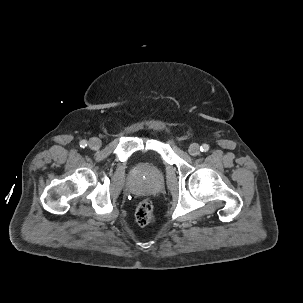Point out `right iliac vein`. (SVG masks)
Listing matches in <instances>:
<instances>
[{
  "mask_svg": "<svg viewBox=\"0 0 303 303\" xmlns=\"http://www.w3.org/2000/svg\"><path fill=\"white\" fill-rule=\"evenodd\" d=\"M88 145L92 150H98L101 146V141L100 139L94 137L89 140Z\"/></svg>",
  "mask_w": 303,
  "mask_h": 303,
  "instance_id": "right-iliac-vein-1",
  "label": "right iliac vein"
}]
</instances>
